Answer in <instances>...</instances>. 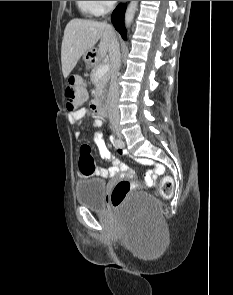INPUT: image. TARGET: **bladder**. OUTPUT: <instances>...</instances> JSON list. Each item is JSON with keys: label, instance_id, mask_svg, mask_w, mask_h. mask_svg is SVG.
I'll use <instances>...</instances> for the list:
<instances>
[{"label": "bladder", "instance_id": "1", "mask_svg": "<svg viewBox=\"0 0 233 295\" xmlns=\"http://www.w3.org/2000/svg\"><path fill=\"white\" fill-rule=\"evenodd\" d=\"M75 193L76 200L81 206L98 213L107 211L104 180L99 178L80 179L76 183ZM123 210L126 214L138 216L146 221H153L159 216L160 203L153 195L140 192L125 203Z\"/></svg>", "mask_w": 233, "mask_h": 295}]
</instances>
